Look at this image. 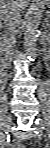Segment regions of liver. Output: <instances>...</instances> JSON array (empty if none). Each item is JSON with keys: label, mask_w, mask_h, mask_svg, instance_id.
I'll list each match as a JSON object with an SVG mask.
<instances>
[{"label": "liver", "mask_w": 50, "mask_h": 148, "mask_svg": "<svg viewBox=\"0 0 50 148\" xmlns=\"http://www.w3.org/2000/svg\"><path fill=\"white\" fill-rule=\"evenodd\" d=\"M11 0H1L0 1V11L10 2ZM20 8H25L28 0H14Z\"/></svg>", "instance_id": "obj_1"}]
</instances>
